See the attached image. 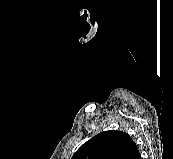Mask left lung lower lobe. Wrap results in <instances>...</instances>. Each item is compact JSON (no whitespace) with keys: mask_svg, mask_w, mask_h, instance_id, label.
I'll return each instance as SVG.
<instances>
[{"mask_svg":"<svg viewBox=\"0 0 173 159\" xmlns=\"http://www.w3.org/2000/svg\"><path fill=\"white\" fill-rule=\"evenodd\" d=\"M136 159H141V156H140V154L136 157Z\"/></svg>","mask_w":173,"mask_h":159,"instance_id":"left-lung-lower-lobe-1","label":"left lung lower lobe"}]
</instances>
